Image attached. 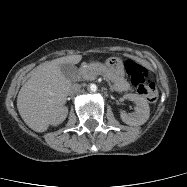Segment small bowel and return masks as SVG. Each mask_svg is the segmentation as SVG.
Listing matches in <instances>:
<instances>
[{"label":"small bowel","instance_id":"small-bowel-1","mask_svg":"<svg viewBox=\"0 0 187 187\" xmlns=\"http://www.w3.org/2000/svg\"><path fill=\"white\" fill-rule=\"evenodd\" d=\"M128 87L129 85L125 81H120L116 84L118 90H126Z\"/></svg>","mask_w":187,"mask_h":187}]
</instances>
